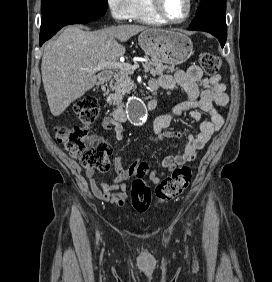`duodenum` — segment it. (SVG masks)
I'll return each mask as SVG.
<instances>
[{"mask_svg":"<svg viewBox=\"0 0 272 282\" xmlns=\"http://www.w3.org/2000/svg\"><path fill=\"white\" fill-rule=\"evenodd\" d=\"M112 77V71H104L100 74V80L102 82H107L111 79ZM149 88L151 90V92L153 93V98L151 100H149L145 106L148 109H155L157 107L158 104V100L156 98V92L158 90V81L157 79H150L149 80ZM124 101H121L117 106L114 107L113 111H112V117L115 120H124L125 119V113H124Z\"/></svg>","mask_w":272,"mask_h":282,"instance_id":"obj_1","label":"duodenum"}]
</instances>
